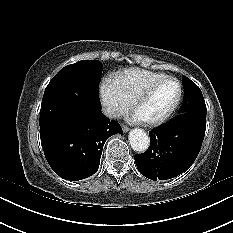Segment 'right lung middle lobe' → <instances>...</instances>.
Masks as SVG:
<instances>
[{"label":"right lung middle lobe","instance_id":"obj_1","mask_svg":"<svg viewBox=\"0 0 233 233\" xmlns=\"http://www.w3.org/2000/svg\"><path fill=\"white\" fill-rule=\"evenodd\" d=\"M102 70L97 60L78 61L61 69L45 89L40 128L57 121H75L81 99L98 101Z\"/></svg>","mask_w":233,"mask_h":233}]
</instances>
